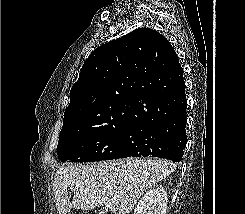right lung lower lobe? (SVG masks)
Segmentation results:
<instances>
[{
    "instance_id": "right-lung-lower-lobe-1",
    "label": "right lung lower lobe",
    "mask_w": 245,
    "mask_h": 214,
    "mask_svg": "<svg viewBox=\"0 0 245 214\" xmlns=\"http://www.w3.org/2000/svg\"><path fill=\"white\" fill-rule=\"evenodd\" d=\"M185 83L175 54L167 69V86L150 100L131 121L118 158L159 157L180 162L186 146Z\"/></svg>"
}]
</instances>
